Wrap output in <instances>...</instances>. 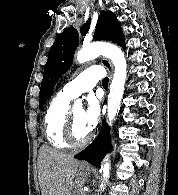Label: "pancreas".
I'll use <instances>...</instances> for the list:
<instances>
[{
	"label": "pancreas",
	"instance_id": "pancreas-1",
	"mask_svg": "<svg viewBox=\"0 0 178 195\" xmlns=\"http://www.w3.org/2000/svg\"><path fill=\"white\" fill-rule=\"evenodd\" d=\"M80 195H86L85 192H82Z\"/></svg>",
	"mask_w": 178,
	"mask_h": 195
}]
</instances>
